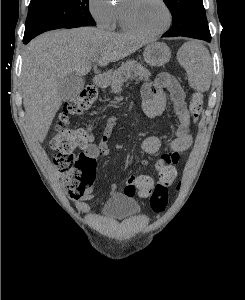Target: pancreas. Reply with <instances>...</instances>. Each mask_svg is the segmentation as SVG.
Instances as JSON below:
<instances>
[{
	"label": "pancreas",
	"instance_id": "cf45deb5",
	"mask_svg": "<svg viewBox=\"0 0 245 300\" xmlns=\"http://www.w3.org/2000/svg\"><path fill=\"white\" fill-rule=\"evenodd\" d=\"M151 76L149 70L144 68L142 64L137 63L135 60H130L121 65L112 75V91L118 93L122 90V85L127 80L135 79H148Z\"/></svg>",
	"mask_w": 245,
	"mask_h": 300
}]
</instances>
